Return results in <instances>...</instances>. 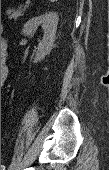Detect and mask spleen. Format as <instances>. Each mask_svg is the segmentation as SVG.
Masks as SVG:
<instances>
[{
	"label": "spleen",
	"instance_id": "1",
	"mask_svg": "<svg viewBox=\"0 0 109 170\" xmlns=\"http://www.w3.org/2000/svg\"><path fill=\"white\" fill-rule=\"evenodd\" d=\"M51 2H55V1H57V0H50Z\"/></svg>",
	"mask_w": 109,
	"mask_h": 170
}]
</instances>
